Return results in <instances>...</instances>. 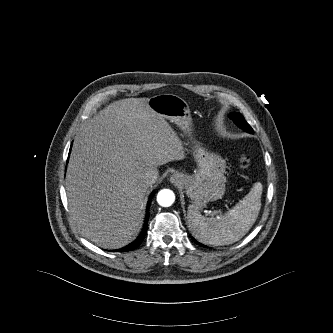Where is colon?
<instances>
[{
  "label": "colon",
  "instance_id": "colon-1",
  "mask_svg": "<svg viewBox=\"0 0 333 333\" xmlns=\"http://www.w3.org/2000/svg\"><path fill=\"white\" fill-rule=\"evenodd\" d=\"M239 165L243 170H247L250 167V159L248 156H242L239 161Z\"/></svg>",
  "mask_w": 333,
  "mask_h": 333
}]
</instances>
